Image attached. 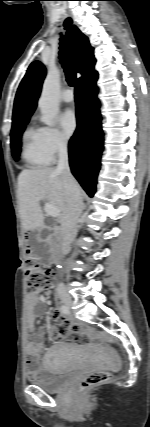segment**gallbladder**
<instances>
[{"instance_id": "gallbladder-1", "label": "gallbladder", "mask_w": 150, "mask_h": 427, "mask_svg": "<svg viewBox=\"0 0 150 427\" xmlns=\"http://www.w3.org/2000/svg\"><path fill=\"white\" fill-rule=\"evenodd\" d=\"M32 253L34 256L40 259V261L44 264H48L51 261L50 251L47 245L43 242H35L32 243Z\"/></svg>"}]
</instances>
